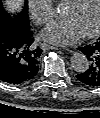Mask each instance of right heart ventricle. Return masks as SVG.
I'll list each match as a JSON object with an SVG mask.
<instances>
[{
  "mask_svg": "<svg viewBox=\"0 0 100 118\" xmlns=\"http://www.w3.org/2000/svg\"><path fill=\"white\" fill-rule=\"evenodd\" d=\"M60 1L61 2H67L68 3L70 0H60Z\"/></svg>",
  "mask_w": 100,
  "mask_h": 118,
  "instance_id": "obj_1",
  "label": "right heart ventricle"
}]
</instances>
